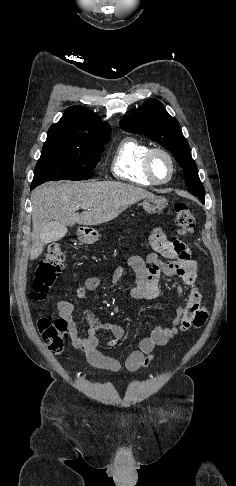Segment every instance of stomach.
Here are the masks:
<instances>
[{
	"label": "stomach",
	"mask_w": 236,
	"mask_h": 486,
	"mask_svg": "<svg viewBox=\"0 0 236 486\" xmlns=\"http://www.w3.org/2000/svg\"><path fill=\"white\" fill-rule=\"evenodd\" d=\"M167 205V200L161 196L148 197L143 201L144 210L150 214L162 211ZM78 237L80 242L84 244H92L98 239L96 233L89 229L78 231Z\"/></svg>",
	"instance_id": "0dacf381"
}]
</instances>
